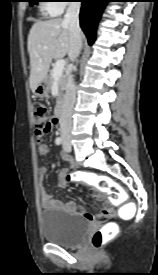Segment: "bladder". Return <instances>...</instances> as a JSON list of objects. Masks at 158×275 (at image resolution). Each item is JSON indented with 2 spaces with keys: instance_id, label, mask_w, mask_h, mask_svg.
<instances>
[{
  "instance_id": "1",
  "label": "bladder",
  "mask_w": 158,
  "mask_h": 275,
  "mask_svg": "<svg viewBox=\"0 0 158 275\" xmlns=\"http://www.w3.org/2000/svg\"><path fill=\"white\" fill-rule=\"evenodd\" d=\"M41 227L45 240L64 247H75L85 237L90 221L79 214L50 208L41 215Z\"/></svg>"
}]
</instances>
